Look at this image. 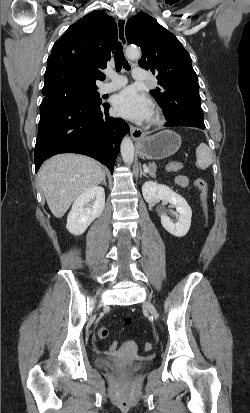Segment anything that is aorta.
<instances>
[{
	"instance_id": "1",
	"label": "aorta",
	"mask_w": 250,
	"mask_h": 413,
	"mask_svg": "<svg viewBox=\"0 0 250 413\" xmlns=\"http://www.w3.org/2000/svg\"><path fill=\"white\" fill-rule=\"evenodd\" d=\"M126 55L129 59H137L140 56L138 48L128 47ZM121 156L125 164H132L134 161V145L129 137H124L121 142Z\"/></svg>"
}]
</instances>
